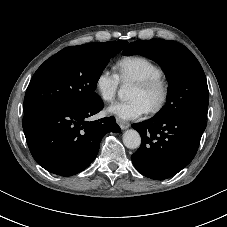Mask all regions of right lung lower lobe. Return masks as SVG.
<instances>
[{"label":"right lung lower lobe","mask_w":227,"mask_h":227,"mask_svg":"<svg viewBox=\"0 0 227 227\" xmlns=\"http://www.w3.org/2000/svg\"><path fill=\"white\" fill-rule=\"evenodd\" d=\"M102 108L98 99L85 105H49L25 113L23 130L36 162L60 176L86 169L97 156L105 134L120 130L114 117L86 121Z\"/></svg>","instance_id":"1"}]
</instances>
